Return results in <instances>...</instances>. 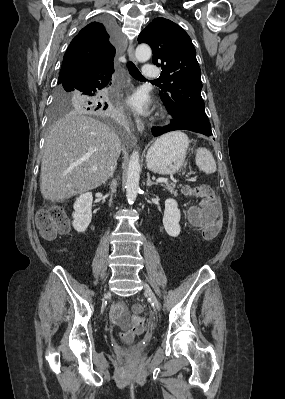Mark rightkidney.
I'll list each match as a JSON object with an SVG mask.
<instances>
[{
  "mask_svg": "<svg viewBox=\"0 0 285 399\" xmlns=\"http://www.w3.org/2000/svg\"><path fill=\"white\" fill-rule=\"evenodd\" d=\"M92 193L87 192L80 195L74 203V212L72 225L74 229L81 233L89 226L92 219Z\"/></svg>",
  "mask_w": 285,
  "mask_h": 399,
  "instance_id": "right-kidney-1",
  "label": "right kidney"
}]
</instances>
